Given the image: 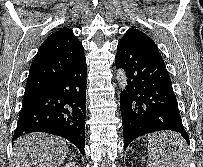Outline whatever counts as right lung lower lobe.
<instances>
[{"label": "right lung lower lobe", "mask_w": 203, "mask_h": 167, "mask_svg": "<svg viewBox=\"0 0 203 167\" xmlns=\"http://www.w3.org/2000/svg\"><path fill=\"white\" fill-rule=\"evenodd\" d=\"M85 56L46 89L26 94L13 140L31 132L64 137L84 155L86 116Z\"/></svg>", "instance_id": "1"}]
</instances>
